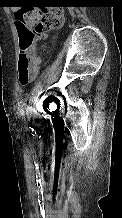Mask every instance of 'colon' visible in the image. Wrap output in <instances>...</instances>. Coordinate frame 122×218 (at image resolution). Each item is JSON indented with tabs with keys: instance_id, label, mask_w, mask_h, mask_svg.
Returning <instances> with one entry per match:
<instances>
[{
	"instance_id": "obj_1",
	"label": "colon",
	"mask_w": 122,
	"mask_h": 218,
	"mask_svg": "<svg viewBox=\"0 0 122 218\" xmlns=\"http://www.w3.org/2000/svg\"><path fill=\"white\" fill-rule=\"evenodd\" d=\"M18 27L20 54L18 57L19 81L28 85L37 73V58L33 50L36 42L61 26L62 10L59 7H29L15 12Z\"/></svg>"
}]
</instances>
